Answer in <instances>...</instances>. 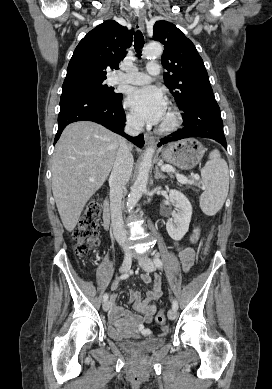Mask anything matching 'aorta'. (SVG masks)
I'll return each mask as SVG.
<instances>
[{"label":"aorta","mask_w":272,"mask_h":389,"mask_svg":"<svg viewBox=\"0 0 272 389\" xmlns=\"http://www.w3.org/2000/svg\"><path fill=\"white\" fill-rule=\"evenodd\" d=\"M163 52V48L160 43L158 42H151L147 44L143 48V55L148 57V58H153V57H159L161 56ZM154 147H148L145 150V153L142 157L140 166H139V171L137 178L134 182V185L128 195L127 199V209L128 211L132 210L139 199L141 198L143 192L146 190L147 187V182H148V177H149V171L151 168L152 164V157L154 154Z\"/></svg>","instance_id":"762f6f07"}]
</instances>
